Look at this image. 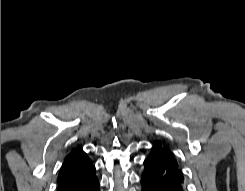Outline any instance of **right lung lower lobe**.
Returning <instances> with one entry per match:
<instances>
[{
	"mask_svg": "<svg viewBox=\"0 0 245 191\" xmlns=\"http://www.w3.org/2000/svg\"><path fill=\"white\" fill-rule=\"evenodd\" d=\"M57 191H100V184L95 174V167L58 182Z\"/></svg>",
	"mask_w": 245,
	"mask_h": 191,
	"instance_id": "right-lung-lower-lobe-1",
	"label": "right lung lower lobe"
}]
</instances>
